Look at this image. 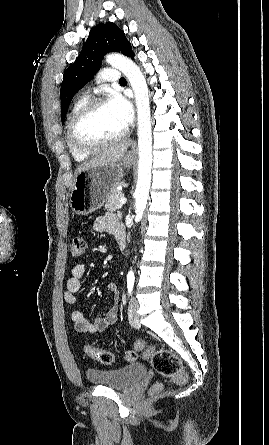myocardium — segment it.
<instances>
[{
	"label": "myocardium",
	"mask_w": 269,
	"mask_h": 445,
	"mask_svg": "<svg viewBox=\"0 0 269 445\" xmlns=\"http://www.w3.org/2000/svg\"><path fill=\"white\" fill-rule=\"evenodd\" d=\"M108 103L106 98L103 97H96L93 99L88 100L85 104H83L76 113L72 116L69 124H68V131L67 136L70 144L79 152L82 153H94L100 150L101 148L114 144L121 139H123L127 133L128 128L126 127L123 131L118 133L117 135L103 139L96 142H86L79 138L77 134L78 126L79 124L94 110H96L98 107L102 106L103 104Z\"/></svg>",
	"instance_id": "myocardium-1"
}]
</instances>
